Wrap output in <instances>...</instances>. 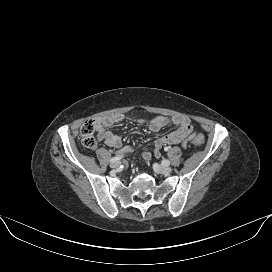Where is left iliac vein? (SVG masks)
Listing matches in <instances>:
<instances>
[{
  "label": "left iliac vein",
  "instance_id": "1",
  "mask_svg": "<svg viewBox=\"0 0 272 272\" xmlns=\"http://www.w3.org/2000/svg\"><path fill=\"white\" fill-rule=\"evenodd\" d=\"M153 169L156 173L158 174H164V175H168L171 173L172 169L169 166H165V165H159V164H154L153 165Z\"/></svg>",
  "mask_w": 272,
  "mask_h": 272
}]
</instances>
